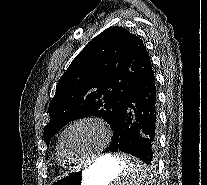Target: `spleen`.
<instances>
[{
	"instance_id": "spleen-1",
	"label": "spleen",
	"mask_w": 207,
	"mask_h": 185,
	"mask_svg": "<svg viewBox=\"0 0 207 185\" xmlns=\"http://www.w3.org/2000/svg\"><path fill=\"white\" fill-rule=\"evenodd\" d=\"M123 174H119L120 185H146L147 179H156V174H149L151 166H145L144 159H134V153H117Z\"/></svg>"
}]
</instances>
